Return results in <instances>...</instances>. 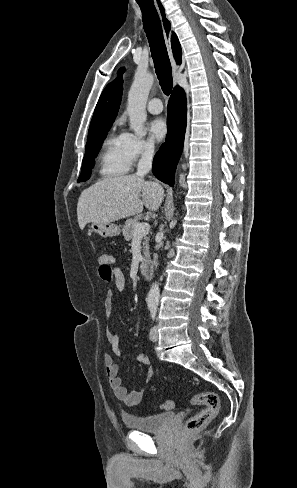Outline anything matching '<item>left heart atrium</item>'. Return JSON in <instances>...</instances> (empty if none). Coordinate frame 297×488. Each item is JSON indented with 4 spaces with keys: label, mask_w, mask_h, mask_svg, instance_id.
I'll return each mask as SVG.
<instances>
[{
    "label": "left heart atrium",
    "mask_w": 297,
    "mask_h": 488,
    "mask_svg": "<svg viewBox=\"0 0 297 488\" xmlns=\"http://www.w3.org/2000/svg\"><path fill=\"white\" fill-rule=\"evenodd\" d=\"M151 135L157 141L163 140L168 132L167 125L163 119H155L150 123L149 126Z\"/></svg>",
    "instance_id": "left-heart-atrium-1"
}]
</instances>
